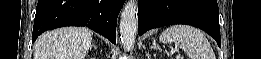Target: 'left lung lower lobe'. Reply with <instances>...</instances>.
Wrapping results in <instances>:
<instances>
[{
    "label": "left lung lower lobe",
    "mask_w": 261,
    "mask_h": 59,
    "mask_svg": "<svg viewBox=\"0 0 261 59\" xmlns=\"http://www.w3.org/2000/svg\"><path fill=\"white\" fill-rule=\"evenodd\" d=\"M138 34L173 24L198 27L220 46L217 0H139Z\"/></svg>",
    "instance_id": "0a47b994"
}]
</instances>
